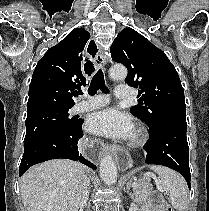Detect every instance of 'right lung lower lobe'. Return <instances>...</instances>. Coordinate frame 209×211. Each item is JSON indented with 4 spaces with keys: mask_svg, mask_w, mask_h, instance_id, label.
I'll use <instances>...</instances> for the list:
<instances>
[{
    "mask_svg": "<svg viewBox=\"0 0 209 211\" xmlns=\"http://www.w3.org/2000/svg\"><path fill=\"white\" fill-rule=\"evenodd\" d=\"M83 122L80 120L73 127L52 133L24 150L19 175L22 176L34 164L58 158L77 160L95 170L96 166L78 152L77 144L83 136Z\"/></svg>",
    "mask_w": 209,
    "mask_h": 211,
    "instance_id": "98d812e1",
    "label": "right lung lower lobe"
}]
</instances>
